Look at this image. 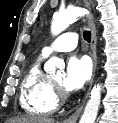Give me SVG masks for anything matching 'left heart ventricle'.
<instances>
[{"mask_svg": "<svg viewBox=\"0 0 118 123\" xmlns=\"http://www.w3.org/2000/svg\"><path fill=\"white\" fill-rule=\"evenodd\" d=\"M53 82H55L58 85H61V83H62V77L59 76V77L54 78L53 79Z\"/></svg>", "mask_w": 118, "mask_h": 123, "instance_id": "left-heart-ventricle-1", "label": "left heart ventricle"}]
</instances>
